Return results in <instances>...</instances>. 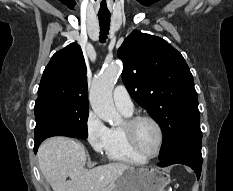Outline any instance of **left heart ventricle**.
Returning <instances> with one entry per match:
<instances>
[{"label": "left heart ventricle", "instance_id": "b2bd125f", "mask_svg": "<svg viewBox=\"0 0 233 191\" xmlns=\"http://www.w3.org/2000/svg\"><path fill=\"white\" fill-rule=\"evenodd\" d=\"M136 140L141 151L146 155H154L157 151L159 136L154 124L141 121L136 128Z\"/></svg>", "mask_w": 233, "mask_h": 191}]
</instances>
